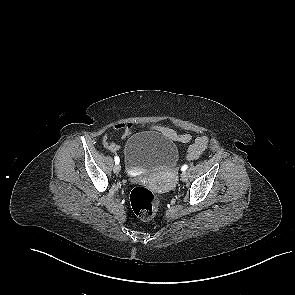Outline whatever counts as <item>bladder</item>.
I'll return each mask as SVG.
<instances>
[{
  "mask_svg": "<svg viewBox=\"0 0 295 295\" xmlns=\"http://www.w3.org/2000/svg\"><path fill=\"white\" fill-rule=\"evenodd\" d=\"M179 159L176 144L157 131H144L127 140L123 161L128 174L166 170Z\"/></svg>",
  "mask_w": 295,
  "mask_h": 295,
  "instance_id": "1",
  "label": "bladder"
}]
</instances>
